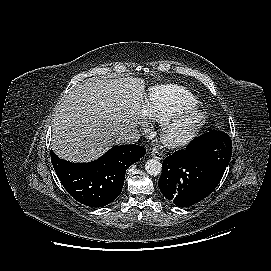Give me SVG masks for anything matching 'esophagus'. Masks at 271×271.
I'll list each match as a JSON object with an SVG mask.
<instances>
[{
    "label": "esophagus",
    "mask_w": 271,
    "mask_h": 271,
    "mask_svg": "<svg viewBox=\"0 0 271 271\" xmlns=\"http://www.w3.org/2000/svg\"><path fill=\"white\" fill-rule=\"evenodd\" d=\"M151 156L157 160H162L164 155L161 151H159L157 148L153 147L151 149Z\"/></svg>",
    "instance_id": "esophagus-1"
}]
</instances>
